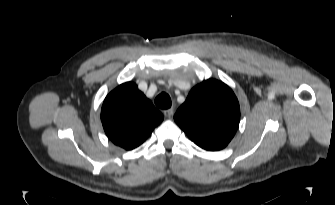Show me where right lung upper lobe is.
<instances>
[{"instance_id": "1", "label": "right lung upper lobe", "mask_w": 335, "mask_h": 205, "mask_svg": "<svg viewBox=\"0 0 335 205\" xmlns=\"http://www.w3.org/2000/svg\"><path fill=\"white\" fill-rule=\"evenodd\" d=\"M163 120L162 113L133 82L119 85L105 98L101 121L108 138L126 150L142 144Z\"/></svg>"}]
</instances>
